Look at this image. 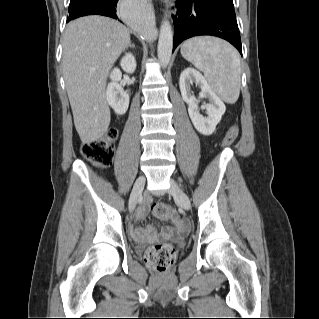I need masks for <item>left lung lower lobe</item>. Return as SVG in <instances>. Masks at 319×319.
<instances>
[{
  "label": "left lung lower lobe",
  "mask_w": 319,
  "mask_h": 319,
  "mask_svg": "<svg viewBox=\"0 0 319 319\" xmlns=\"http://www.w3.org/2000/svg\"><path fill=\"white\" fill-rule=\"evenodd\" d=\"M173 17V51L184 40L200 35L223 38L242 55L240 33L234 9L208 0H177Z\"/></svg>",
  "instance_id": "obj_1"
}]
</instances>
